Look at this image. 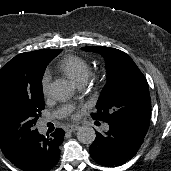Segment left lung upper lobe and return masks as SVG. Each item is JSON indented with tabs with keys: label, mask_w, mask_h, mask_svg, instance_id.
Wrapping results in <instances>:
<instances>
[{
	"label": "left lung upper lobe",
	"mask_w": 171,
	"mask_h": 171,
	"mask_svg": "<svg viewBox=\"0 0 171 171\" xmlns=\"http://www.w3.org/2000/svg\"><path fill=\"white\" fill-rule=\"evenodd\" d=\"M82 50L101 54L107 65L108 81L97 102V113L92 117L148 130L151 115L149 87L130 56L105 46H88Z\"/></svg>",
	"instance_id": "left-lung-upper-lobe-1"
}]
</instances>
